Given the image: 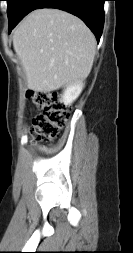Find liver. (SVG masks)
I'll list each match as a JSON object with an SVG mask.
<instances>
[{
    "label": "liver",
    "mask_w": 133,
    "mask_h": 253,
    "mask_svg": "<svg viewBox=\"0 0 133 253\" xmlns=\"http://www.w3.org/2000/svg\"><path fill=\"white\" fill-rule=\"evenodd\" d=\"M13 47L26 73L28 88L50 92L89 75L96 39L74 15L57 9H39L15 28Z\"/></svg>",
    "instance_id": "1"
}]
</instances>
